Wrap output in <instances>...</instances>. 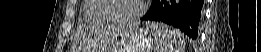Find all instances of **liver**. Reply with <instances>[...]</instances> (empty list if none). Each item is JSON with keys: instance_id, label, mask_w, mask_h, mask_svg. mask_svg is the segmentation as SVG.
<instances>
[{"instance_id": "liver-1", "label": "liver", "mask_w": 261, "mask_h": 52, "mask_svg": "<svg viewBox=\"0 0 261 52\" xmlns=\"http://www.w3.org/2000/svg\"><path fill=\"white\" fill-rule=\"evenodd\" d=\"M128 29V28H127ZM130 31V29H128ZM120 31L111 29L103 34V41L101 43V49H114L116 44L117 36L119 35Z\"/></svg>"}]
</instances>
